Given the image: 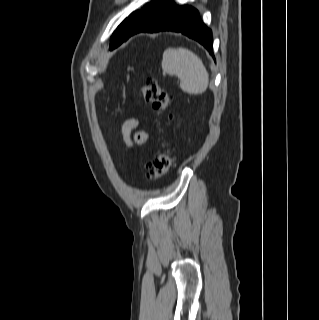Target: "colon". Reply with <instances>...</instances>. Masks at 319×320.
Returning a JSON list of instances; mask_svg holds the SVG:
<instances>
[{
	"label": "colon",
	"mask_w": 319,
	"mask_h": 320,
	"mask_svg": "<svg viewBox=\"0 0 319 320\" xmlns=\"http://www.w3.org/2000/svg\"><path fill=\"white\" fill-rule=\"evenodd\" d=\"M143 99L152 105L154 111L161 115L170 105L169 93L154 79H147L141 89ZM174 157L169 149L156 152L147 169L146 178L155 180L169 172Z\"/></svg>",
	"instance_id": "obj_1"
}]
</instances>
